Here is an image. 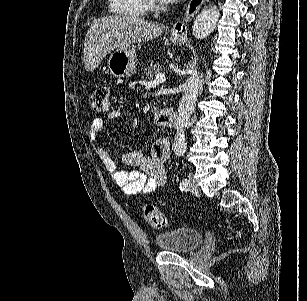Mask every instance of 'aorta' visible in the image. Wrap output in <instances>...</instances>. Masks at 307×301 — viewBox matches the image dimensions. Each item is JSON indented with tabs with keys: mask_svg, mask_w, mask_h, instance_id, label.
<instances>
[{
	"mask_svg": "<svg viewBox=\"0 0 307 301\" xmlns=\"http://www.w3.org/2000/svg\"><path fill=\"white\" fill-rule=\"evenodd\" d=\"M219 16L220 12L216 6H208V8L201 10V12H199L198 16H196L194 20L192 30L193 36H195V38H206V36H209V34L213 32L219 20ZM198 82L199 74L196 68H193L188 80L185 82V90L182 94L176 122L174 124L176 128V134L172 148L175 153H185L187 144L185 130L187 122H189L190 116H192L195 110L196 100L199 94Z\"/></svg>",
	"mask_w": 307,
	"mask_h": 301,
	"instance_id": "762f6f07",
	"label": "aorta"
}]
</instances>
